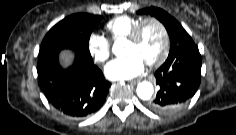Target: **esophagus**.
Wrapping results in <instances>:
<instances>
[{
	"mask_svg": "<svg viewBox=\"0 0 236 135\" xmlns=\"http://www.w3.org/2000/svg\"><path fill=\"white\" fill-rule=\"evenodd\" d=\"M139 81H140V79H133V80H129V83L135 85V84H137Z\"/></svg>",
	"mask_w": 236,
	"mask_h": 135,
	"instance_id": "esophagus-1",
	"label": "esophagus"
}]
</instances>
